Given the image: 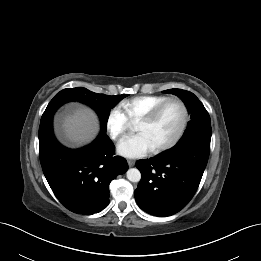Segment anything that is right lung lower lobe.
<instances>
[{
  "instance_id": "right-lung-lower-lobe-1",
  "label": "right lung lower lobe",
  "mask_w": 261,
  "mask_h": 261,
  "mask_svg": "<svg viewBox=\"0 0 261 261\" xmlns=\"http://www.w3.org/2000/svg\"><path fill=\"white\" fill-rule=\"evenodd\" d=\"M52 117L41 119L39 155L43 173L58 200L70 211L91 215L109 204V184L128 170L126 160L114 156V144L101 130L90 145L72 150L53 134Z\"/></svg>"
}]
</instances>
